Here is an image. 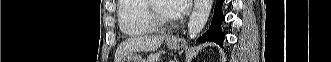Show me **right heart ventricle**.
<instances>
[{
	"label": "right heart ventricle",
	"mask_w": 331,
	"mask_h": 62,
	"mask_svg": "<svg viewBox=\"0 0 331 62\" xmlns=\"http://www.w3.org/2000/svg\"><path fill=\"white\" fill-rule=\"evenodd\" d=\"M117 16L119 28L127 36H140L154 31L145 17L144 0H120Z\"/></svg>",
	"instance_id": "e07e8e85"
}]
</instances>
